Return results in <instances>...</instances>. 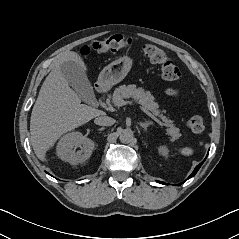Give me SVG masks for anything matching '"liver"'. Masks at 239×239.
<instances>
[{"mask_svg": "<svg viewBox=\"0 0 239 239\" xmlns=\"http://www.w3.org/2000/svg\"><path fill=\"white\" fill-rule=\"evenodd\" d=\"M68 61L75 62L86 70V65L77 52L63 53L43 82L32 109L31 144L36 156L43 162L47 161V150L61 135L103 114L101 110L81 104L78 94L69 87L60 68Z\"/></svg>", "mask_w": 239, "mask_h": 239, "instance_id": "6515ba94", "label": "liver"}]
</instances>
